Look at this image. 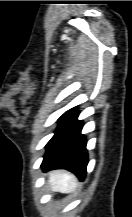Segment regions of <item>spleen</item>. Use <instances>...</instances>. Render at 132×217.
<instances>
[{
  "label": "spleen",
  "mask_w": 132,
  "mask_h": 217,
  "mask_svg": "<svg viewBox=\"0 0 132 217\" xmlns=\"http://www.w3.org/2000/svg\"><path fill=\"white\" fill-rule=\"evenodd\" d=\"M49 183L53 191H58L63 194H68L78 186L77 178L66 171H53L49 174Z\"/></svg>",
  "instance_id": "1"
}]
</instances>
